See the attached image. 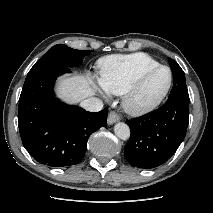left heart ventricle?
Here are the masks:
<instances>
[{"label": "left heart ventricle", "mask_w": 213, "mask_h": 213, "mask_svg": "<svg viewBox=\"0 0 213 213\" xmlns=\"http://www.w3.org/2000/svg\"><path fill=\"white\" fill-rule=\"evenodd\" d=\"M169 80V73L165 69L158 70L152 74L143 85L137 100L148 101L159 95L166 87Z\"/></svg>", "instance_id": "b2bd125f"}]
</instances>
